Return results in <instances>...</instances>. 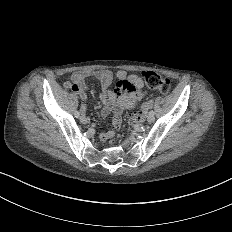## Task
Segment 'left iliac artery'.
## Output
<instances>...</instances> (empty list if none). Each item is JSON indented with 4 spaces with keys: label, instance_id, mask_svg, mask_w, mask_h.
Returning <instances> with one entry per match:
<instances>
[{
    "label": "left iliac artery",
    "instance_id": "44dca946",
    "mask_svg": "<svg viewBox=\"0 0 232 232\" xmlns=\"http://www.w3.org/2000/svg\"><path fill=\"white\" fill-rule=\"evenodd\" d=\"M149 115L153 117L155 115V112L154 111H150Z\"/></svg>",
    "mask_w": 232,
    "mask_h": 232
}]
</instances>
